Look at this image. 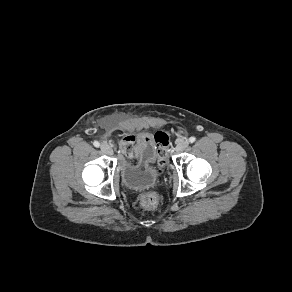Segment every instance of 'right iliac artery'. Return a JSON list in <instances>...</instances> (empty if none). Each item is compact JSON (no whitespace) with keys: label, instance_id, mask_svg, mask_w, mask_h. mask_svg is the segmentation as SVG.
<instances>
[{"label":"right iliac artery","instance_id":"right-iliac-artery-1","mask_svg":"<svg viewBox=\"0 0 292 292\" xmlns=\"http://www.w3.org/2000/svg\"><path fill=\"white\" fill-rule=\"evenodd\" d=\"M93 145H94L95 147H99V146H100V143H99L98 141H94V142H93Z\"/></svg>","mask_w":292,"mask_h":292}]
</instances>
